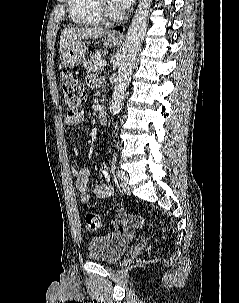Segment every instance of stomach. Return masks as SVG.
Here are the masks:
<instances>
[{
    "label": "stomach",
    "mask_w": 239,
    "mask_h": 303,
    "mask_svg": "<svg viewBox=\"0 0 239 303\" xmlns=\"http://www.w3.org/2000/svg\"><path fill=\"white\" fill-rule=\"evenodd\" d=\"M117 44L118 40L112 39L110 37H108L104 41V45L106 47H113ZM87 50L88 48L85 42L81 40L74 41L68 47H65L61 50V63L65 67L74 68L75 66H78L81 63Z\"/></svg>",
    "instance_id": "0dacf381"
}]
</instances>
